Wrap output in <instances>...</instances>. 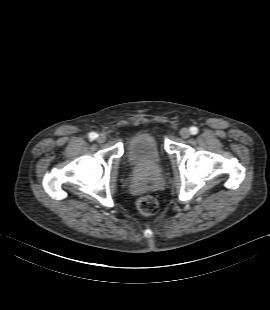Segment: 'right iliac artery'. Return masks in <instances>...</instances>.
<instances>
[{
    "label": "right iliac artery",
    "instance_id": "82829eb1",
    "mask_svg": "<svg viewBox=\"0 0 270 310\" xmlns=\"http://www.w3.org/2000/svg\"><path fill=\"white\" fill-rule=\"evenodd\" d=\"M96 137H97V134L94 133V132H91V133L89 134V138H90L91 140H94Z\"/></svg>",
    "mask_w": 270,
    "mask_h": 310
}]
</instances>
